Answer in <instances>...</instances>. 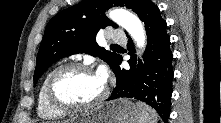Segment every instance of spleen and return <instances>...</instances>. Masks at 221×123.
Masks as SVG:
<instances>
[{"label":"spleen","instance_id":"3e777b00","mask_svg":"<svg viewBox=\"0 0 221 123\" xmlns=\"http://www.w3.org/2000/svg\"><path fill=\"white\" fill-rule=\"evenodd\" d=\"M136 107L138 110L137 123H157L158 114L153 108L143 102H137Z\"/></svg>","mask_w":221,"mask_h":123}]
</instances>
